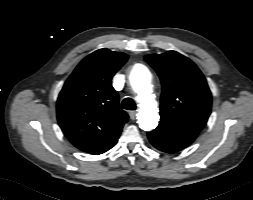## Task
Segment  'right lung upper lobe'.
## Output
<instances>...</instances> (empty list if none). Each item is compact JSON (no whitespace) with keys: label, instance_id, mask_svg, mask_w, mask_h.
Returning <instances> with one entry per match:
<instances>
[{"label":"right lung upper lobe","instance_id":"obj_1","mask_svg":"<svg viewBox=\"0 0 253 200\" xmlns=\"http://www.w3.org/2000/svg\"><path fill=\"white\" fill-rule=\"evenodd\" d=\"M127 59L124 53L99 49L84 58L64 84L57 119L78 149L98 155L116 144L128 115L111 80Z\"/></svg>","mask_w":253,"mask_h":200}]
</instances>
